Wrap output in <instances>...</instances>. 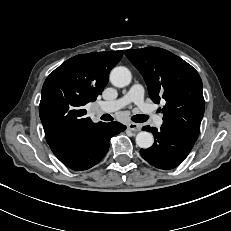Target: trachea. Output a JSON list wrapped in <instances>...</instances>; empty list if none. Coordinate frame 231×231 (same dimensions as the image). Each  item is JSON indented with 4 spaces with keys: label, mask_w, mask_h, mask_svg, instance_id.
<instances>
[{
    "label": "trachea",
    "mask_w": 231,
    "mask_h": 231,
    "mask_svg": "<svg viewBox=\"0 0 231 231\" xmlns=\"http://www.w3.org/2000/svg\"><path fill=\"white\" fill-rule=\"evenodd\" d=\"M101 119L104 120V121H112L113 120V117L109 114H103L101 116ZM134 122H137V123H142V122H145L148 120V116L147 115H141V114H138V115H134L132 116L131 118Z\"/></svg>",
    "instance_id": "obj_1"
}]
</instances>
